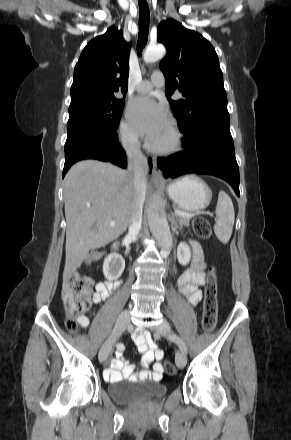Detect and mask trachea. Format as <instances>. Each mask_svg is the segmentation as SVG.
<instances>
[{"label": "trachea", "instance_id": "obj_1", "mask_svg": "<svg viewBox=\"0 0 291 440\" xmlns=\"http://www.w3.org/2000/svg\"><path fill=\"white\" fill-rule=\"evenodd\" d=\"M150 13L149 7L145 0L139 1V35L137 42V51L139 56L147 43L149 32Z\"/></svg>", "mask_w": 291, "mask_h": 440}]
</instances>
